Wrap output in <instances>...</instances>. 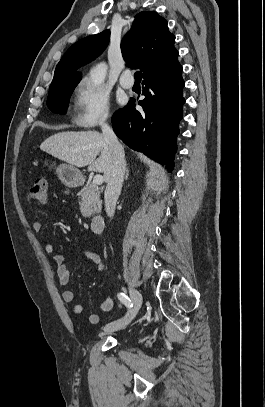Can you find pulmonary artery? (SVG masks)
I'll use <instances>...</instances> for the list:
<instances>
[{
    "instance_id": "e3ab8cb5",
    "label": "pulmonary artery",
    "mask_w": 265,
    "mask_h": 407,
    "mask_svg": "<svg viewBox=\"0 0 265 407\" xmlns=\"http://www.w3.org/2000/svg\"><path fill=\"white\" fill-rule=\"evenodd\" d=\"M130 71L126 70L122 73L119 78V83L124 89H130L133 87L134 81L130 79Z\"/></svg>"
}]
</instances>
